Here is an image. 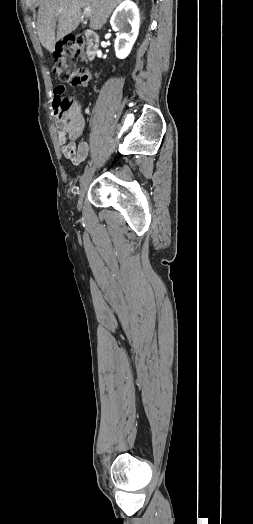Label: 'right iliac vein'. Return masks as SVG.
<instances>
[{
    "label": "right iliac vein",
    "instance_id": "right-iliac-vein-1",
    "mask_svg": "<svg viewBox=\"0 0 253 524\" xmlns=\"http://www.w3.org/2000/svg\"><path fill=\"white\" fill-rule=\"evenodd\" d=\"M94 166L93 167H90L88 169V171L86 172V174L84 175V177L82 178V180L80 181V191H79V200H78V209L81 208L82 206V202H83V198H84V195L88 189V186H89V183L91 181V178L94 174Z\"/></svg>",
    "mask_w": 253,
    "mask_h": 524
}]
</instances>
